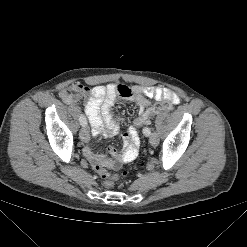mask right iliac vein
Here are the masks:
<instances>
[{"label": "right iliac vein", "mask_w": 247, "mask_h": 247, "mask_svg": "<svg viewBox=\"0 0 247 247\" xmlns=\"http://www.w3.org/2000/svg\"><path fill=\"white\" fill-rule=\"evenodd\" d=\"M79 137L83 142H88L90 139V134H89V130L83 126V128H81L80 132H79Z\"/></svg>", "instance_id": "obj_1"}]
</instances>
